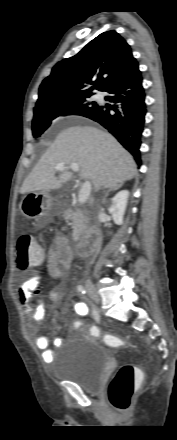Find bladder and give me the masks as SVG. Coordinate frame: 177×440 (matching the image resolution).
Segmentation results:
<instances>
[{"label": "bladder", "instance_id": "bladder-1", "mask_svg": "<svg viewBox=\"0 0 177 440\" xmlns=\"http://www.w3.org/2000/svg\"><path fill=\"white\" fill-rule=\"evenodd\" d=\"M67 353L54 361L55 378L73 382L83 390L96 392L103 381L108 354L95 339L88 338L63 346Z\"/></svg>", "mask_w": 177, "mask_h": 440}]
</instances>
